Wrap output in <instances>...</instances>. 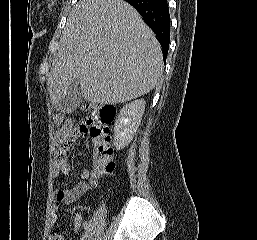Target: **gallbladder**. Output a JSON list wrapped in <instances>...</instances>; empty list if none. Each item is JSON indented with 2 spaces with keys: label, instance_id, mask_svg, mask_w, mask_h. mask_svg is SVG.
Listing matches in <instances>:
<instances>
[{
  "label": "gallbladder",
  "instance_id": "gallbladder-1",
  "mask_svg": "<svg viewBox=\"0 0 257 240\" xmlns=\"http://www.w3.org/2000/svg\"><path fill=\"white\" fill-rule=\"evenodd\" d=\"M82 101L81 87L78 80H75L68 87V93L64 99H62L55 108L58 112L72 113L76 110Z\"/></svg>",
  "mask_w": 257,
  "mask_h": 240
}]
</instances>
